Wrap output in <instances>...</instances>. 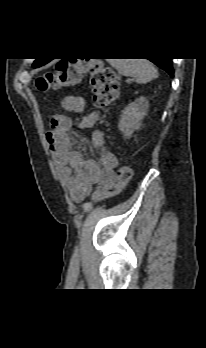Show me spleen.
Segmentation results:
<instances>
[{
  "label": "spleen",
  "mask_w": 206,
  "mask_h": 348,
  "mask_svg": "<svg viewBox=\"0 0 206 348\" xmlns=\"http://www.w3.org/2000/svg\"><path fill=\"white\" fill-rule=\"evenodd\" d=\"M109 63L124 76L133 77L139 83L158 78V71L147 59H109Z\"/></svg>",
  "instance_id": "3e777b00"
}]
</instances>
